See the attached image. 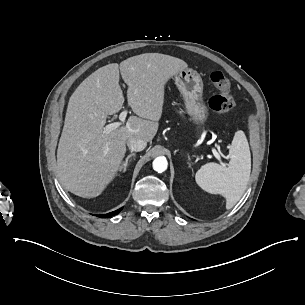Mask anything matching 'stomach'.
<instances>
[{"label": "stomach", "instance_id": "0dacf381", "mask_svg": "<svg viewBox=\"0 0 305 305\" xmlns=\"http://www.w3.org/2000/svg\"><path fill=\"white\" fill-rule=\"evenodd\" d=\"M176 85L183 97L184 108L195 126L198 141L203 142L205 123L209 117V109L203 100V81L197 71L191 69L181 71L175 78Z\"/></svg>", "mask_w": 305, "mask_h": 305}]
</instances>
